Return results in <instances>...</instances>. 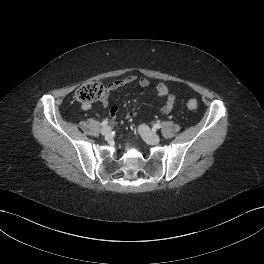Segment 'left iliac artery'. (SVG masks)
I'll return each mask as SVG.
<instances>
[{
    "mask_svg": "<svg viewBox=\"0 0 264 264\" xmlns=\"http://www.w3.org/2000/svg\"><path fill=\"white\" fill-rule=\"evenodd\" d=\"M153 127H154V129H159L161 127V125L159 123H156V124H154Z\"/></svg>",
    "mask_w": 264,
    "mask_h": 264,
    "instance_id": "44dca946",
    "label": "left iliac artery"
}]
</instances>
